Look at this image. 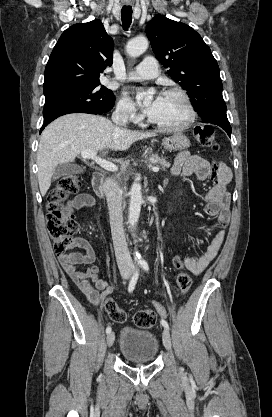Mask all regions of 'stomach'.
Wrapping results in <instances>:
<instances>
[{
  "instance_id": "stomach-1",
  "label": "stomach",
  "mask_w": 272,
  "mask_h": 417,
  "mask_svg": "<svg viewBox=\"0 0 272 417\" xmlns=\"http://www.w3.org/2000/svg\"><path fill=\"white\" fill-rule=\"evenodd\" d=\"M162 145L168 151H181L190 146V141L182 133H174L173 135L164 138Z\"/></svg>"
}]
</instances>
